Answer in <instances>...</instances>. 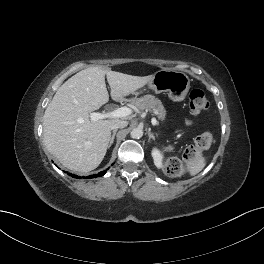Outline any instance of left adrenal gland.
<instances>
[{
  "mask_svg": "<svg viewBox=\"0 0 264 264\" xmlns=\"http://www.w3.org/2000/svg\"><path fill=\"white\" fill-rule=\"evenodd\" d=\"M148 137H149V140L150 139L155 140V136L153 133H151V131H148Z\"/></svg>",
  "mask_w": 264,
  "mask_h": 264,
  "instance_id": "obj_1",
  "label": "left adrenal gland"
}]
</instances>
